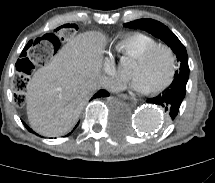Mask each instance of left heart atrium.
I'll return each instance as SVG.
<instances>
[{
  "label": "left heart atrium",
  "mask_w": 215,
  "mask_h": 183,
  "mask_svg": "<svg viewBox=\"0 0 215 183\" xmlns=\"http://www.w3.org/2000/svg\"><path fill=\"white\" fill-rule=\"evenodd\" d=\"M131 86L135 90L140 91V92H146V91H148V88H147L146 84L138 76L133 77L132 82H131Z\"/></svg>",
  "instance_id": "39dd6f15"
}]
</instances>
